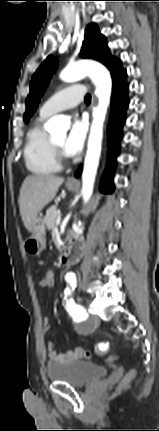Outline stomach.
<instances>
[{
  "label": "stomach",
  "instance_id": "1",
  "mask_svg": "<svg viewBox=\"0 0 159 431\" xmlns=\"http://www.w3.org/2000/svg\"><path fill=\"white\" fill-rule=\"evenodd\" d=\"M69 191H74L76 186L67 185ZM46 246L45 221L41 215L37 216L31 230V236L25 241L24 249L29 254L38 255Z\"/></svg>",
  "mask_w": 159,
  "mask_h": 431
}]
</instances>
